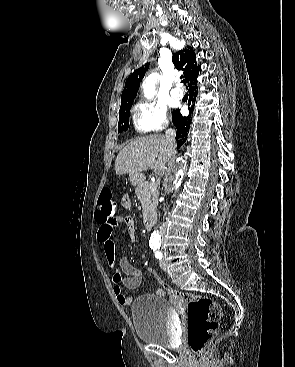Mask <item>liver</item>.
Instances as JSON below:
<instances>
[{
  "label": "liver",
  "instance_id": "1",
  "mask_svg": "<svg viewBox=\"0 0 295 367\" xmlns=\"http://www.w3.org/2000/svg\"><path fill=\"white\" fill-rule=\"evenodd\" d=\"M175 153V148H169L163 135L137 138L127 144L117 155L115 172L117 175H123L153 169L155 174L163 175L166 164Z\"/></svg>",
  "mask_w": 295,
  "mask_h": 367
}]
</instances>
